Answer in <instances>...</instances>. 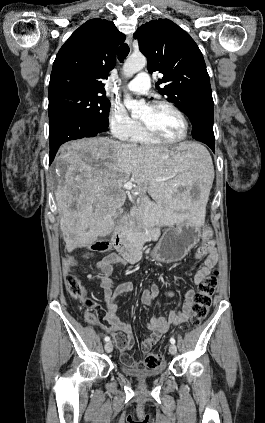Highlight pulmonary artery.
Here are the masks:
<instances>
[{
	"mask_svg": "<svg viewBox=\"0 0 265 423\" xmlns=\"http://www.w3.org/2000/svg\"><path fill=\"white\" fill-rule=\"evenodd\" d=\"M126 89L135 94H147L150 89V79L147 73H139L131 82L126 86Z\"/></svg>",
	"mask_w": 265,
	"mask_h": 423,
	"instance_id": "pulmonary-artery-1",
	"label": "pulmonary artery"
}]
</instances>
